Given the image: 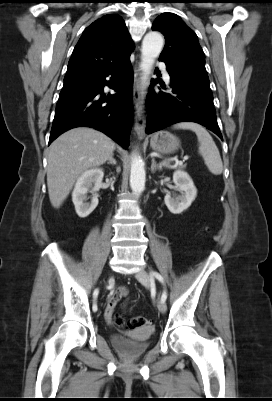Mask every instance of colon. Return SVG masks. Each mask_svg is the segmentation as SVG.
<instances>
[{
  "instance_id": "5ec220e1",
  "label": "colon",
  "mask_w": 272,
  "mask_h": 401,
  "mask_svg": "<svg viewBox=\"0 0 272 401\" xmlns=\"http://www.w3.org/2000/svg\"><path fill=\"white\" fill-rule=\"evenodd\" d=\"M115 322L119 326H127L130 329H136L149 324V320L146 317H135L126 321L121 315L115 316Z\"/></svg>"
}]
</instances>
